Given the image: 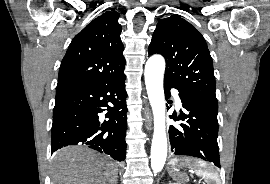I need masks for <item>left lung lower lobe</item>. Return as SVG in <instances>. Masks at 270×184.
Instances as JSON below:
<instances>
[{"label":"left lung lower lobe","instance_id":"obj_1","mask_svg":"<svg viewBox=\"0 0 270 184\" xmlns=\"http://www.w3.org/2000/svg\"><path fill=\"white\" fill-rule=\"evenodd\" d=\"M179 91L183 110L174 120L183 121L182 129L173 126L169 129L171 152L174 155H185L213 163L220 168L218 136V110L202 102L191 92L180 88L174 81L164 77L166 99L170 89ZM172 118V116H170Z\"/></svg>","mask_w":270,"mask_h":184}]
</instances>
